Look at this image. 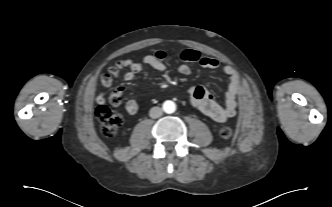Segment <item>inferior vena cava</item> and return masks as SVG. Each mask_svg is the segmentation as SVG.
<instances>
[{"label": "inferior vena cava", "mask_w": 332, "mask_h": 207, "mask_svg": "<svg viewBox=\"0 0 332 207\" xmlns=\"http://www.w3.org/2000/svg\"><path fill=\"white\" fill-rule=\"evenodd\" d=\"M163 111L160 107H153L150 109L149 116L153 119L161 117Z\"/></svg>", "instance_id": "1"}]
</instances>
